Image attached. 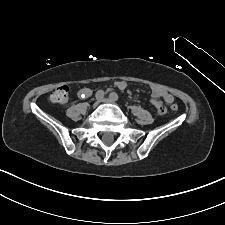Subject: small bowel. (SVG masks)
Returning <instances> with one entry per match:
<instances>
[{"label": "small bowel", "mask_w": 225, "mask_h": 225, "mask_svg": "<svg viewBox=\"0 0 225 225\" xmlns=\"http://www.w3.org/2000/svg\"><path fill=\"white\" fill-rule=\"evenodd\" d=\"M115 86L120 89L123 90L127 87V82L123 81V80H119L117 82H115ZM79 94L82 96H89L91 94V90L89 88H82L79 91ZM174 98L173 96L168 93L166 90L154 86L152 87V92H151V102L152 104L158 109L160 106H164V104H172Z\"/></svg>", "instance_id": "obj_1"}]
</instances>
